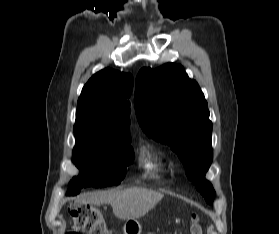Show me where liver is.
Listing matches in <instances>:
<instances>
[{
	"label": "liver",
	"instance_id": "obj_1",
	"mask_svg": "<svg viewBox=\"0 0 279 234\" xmlns=\"http://www.w3.org/2000/svg\"><path fill=\"white\" fill-rule=\"evenodd\" d=\"M162 198L163 195L156 191L132 187L120 191L93 193L83 200L94 205L110 204L117 218L130 220L146 215Z\"/></svg>",
	"mask_w": 279,
	"mask_h": 234
}]
</instances>
